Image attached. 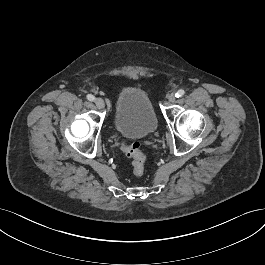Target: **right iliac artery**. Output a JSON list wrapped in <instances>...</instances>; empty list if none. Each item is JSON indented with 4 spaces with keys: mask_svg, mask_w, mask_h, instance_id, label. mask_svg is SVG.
I'll list each match as a JSON object with an SVG mask.
<instances>
[{
    "mask_svg": "<svg viewBox=\"0 0 265 265\" xmlns=\"http://www.w3.org/2000/svg\"><path fill=\"white\" fill-rule=\"evenodd\" d=\"M87 99H88L89 101H94L95 97H94L92 94H88V95H87Z\"/></svg>",
    "mask_w": 265,
    "mask_h": 265,
    "instance_id": "right-iliac-artery-1",
    "label": "right iliac artery"
}]
</instances>
